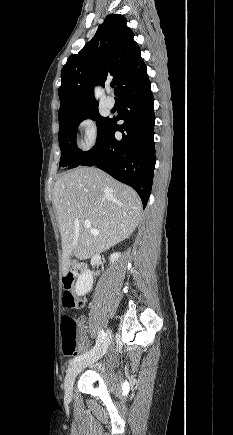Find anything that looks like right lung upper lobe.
<instances>
[{
  "label": "right lung upper lobe",
  "instance_id": "right-lung-upper-lobe-1",
  "mask_svg": "<svg viewBox=\"0 0 233 435\" xmlns=\"http://www.w3.org/2000/svg\"><path fill=\"white\" fill-rule=\"evenodd\" d=\"M123 15L110 14L95 36L78 54H72L61 72L58 118L82 114L96 108L94 85L113 76L115 92L146 73L140 48Z\"/></svg>",
  "mask_w": 233,
  "mask_h": 435
}]
</instances>
